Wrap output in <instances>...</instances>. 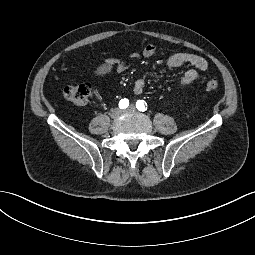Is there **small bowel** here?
<instances>
[{"label":"small bowel","mask_w":255,"mask_h":255,"mask_svg":"<svg viewBox=\"0 0 255 255\" xmlns=\"http://www.w3.org/2000/svg\"><path fill=\"white\" fill-rule=\"evenodd\" d=\"M157 52V48L153 44H147L143 51L142 55L145 58L153 57ZM132 58L138 57V54H133ZM183 65H190L193 68L187 69L182 77L179 80L181 86H187L194 81H196L199 77V72L206 71L209 67L208 61L199 55L191 54V53H175L169 56L166 61L161 65L162 68L173 69L178 68ZM128 64L121 61L120 59H107L102 64H100L95 69V75L104 76L110 73L113 70L118 72H122L127 69ZM147 84V79L145 76H141L137 78L133 83V91L135 94H141Z\"/></svg>","instance_id":"1"}]
</instances>
